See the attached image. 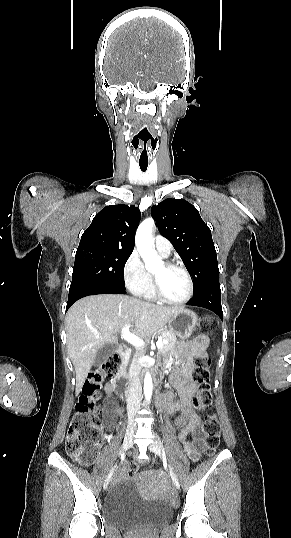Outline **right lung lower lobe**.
Returning a JSON list of instances; mask_svg holds the SVG:
<instances>
[{"instance_id":"1","label":"right lung lower lobe","mask_w":291,"mask_h":538,"mask_svg":"<svg viewBox=\"0 0 291 538\" xmlns=\"http://www.w3.org/2000/svg\"><path fill=\"white\" fill-rule=\"evenodd\" d=\"M96 294H126L125 289L106 287V286H81L75 287L69 290V297L66 306V311L71 307V305L76 302L78 299L83 298L89 295Z\"/></svg>"}]
</instances>
